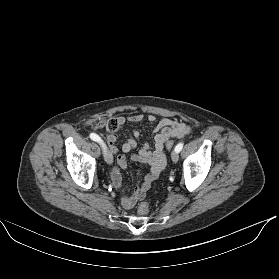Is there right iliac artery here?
Returning a JSON list of instances; mask_svg holds the SVG:
<instances>
[{"label": "right iliac artery", "mask_w": 279, "mask_h": 279, "mask_svg": "<svg viewBox=\"0 0 279 279\" xmlns=\"http://www.w3.org/2000/svg\"><path fill=\"white\" fill-rule=\"evenodd\" d=\"M90 138L93 140V141H96L98 143H101L103 146H105V144L103 143V141L101 140V138L95 134V133H91L90 134Z\"/></svg>", "instance_id": "1"}]
</instances>
